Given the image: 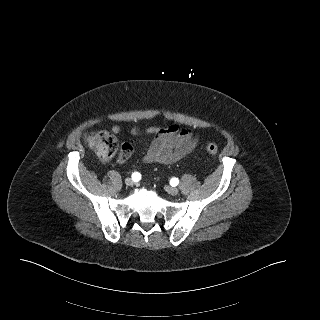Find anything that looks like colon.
<instances>
[{"mask_svg":"<svg viewBox=\"0 0 320 320\" xmlns=\"http://www.w3.org/2000/svg\"><path fill=\"white\" fill-rule=\"evenodd\" d=\"M89 142L96 150L97 154L103 159L113 157L118 149V142L115 136L107 131H101L92 135L89 138ZM205 148L206 151L213 156L218 153V146L213 142H208ZM118 158L119 160L125 159L123 149H121Z\"/></svg>","mask_w":320,"mask_h":320,"instance_id":"1","label":"colon"}]
</instances>
